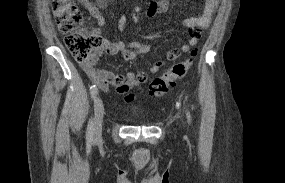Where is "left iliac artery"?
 Instances as JSON below:
<instances>
[{
    "instance_id": "44dca946",
    "label": "left iliac artery",
    "mask_w": 285,
    "mask_h": 183,
    "mask_svg": "<svg viewBox=\"0 0 285 183\" xmlns=\"http://www.w3.org/2000/svg\"><path fill=\"white\" fill-rule=\"evenodd\" d=\"M187 119H188V121L190 122V120H191V116H190V113L187 111Z\"/></svg>"
}]
</instances>
